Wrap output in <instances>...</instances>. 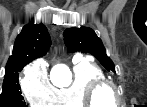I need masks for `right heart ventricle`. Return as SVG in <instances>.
Here are the masks:
<instances>
[{
	"mask_svg": "<svg viewBox=\"0 0 147 107\" xmlns=\"http://www.w3.org/2000/svg\"><path fill=\"white\" fill-rule=\"evenodd\" d=\"M100 78H104V74L96 64L86 59H75L71 83L54 90L48 105L50 107H86L83 98L85 89L90 82Z\"/></svg>",
	"mask_w": 147,
	"mask_h": 107,
	"instance_id": "e07e8e85",
	"label": "right heart ventricle"
}]
</instances>
